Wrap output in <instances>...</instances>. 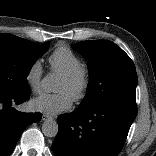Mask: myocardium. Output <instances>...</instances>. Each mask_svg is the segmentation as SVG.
Wrapping results in <instances>:
<instances>
[{
  "instance_id": "1",
  "label": "myocardium",
  "mask_w": 156,
  "mask_h": 156,
  "mask_svg": "<svg viewBox=\"0 0 156 156\" xmlns=\"http://www.w3.org/2000/svg\"><path fill=\"white\" fill-rule=\"evenodd\" d=\"M61 78L75 86V93L72 97L74 102L82 101L91 86V74L85 65H80L74 70L64 73Z\"/></svg>"
}]
</instances>
